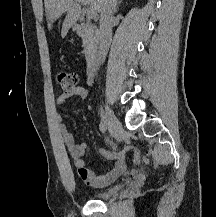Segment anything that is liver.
I'll use <instances>...</instances> for the list:
<instances>
[{
	"instance_id": "1",
	"label": "liver",
	"mask_w": 216,
	"mask_h": 217,
	"mask_svg": "<svg viewBox=\"0 0 216 217\" xmlns=\"http://www.w3.org/2000/svg\"><path fill=\"white\" fill-rule=\"evenodd\" d=\"M105 0H85L88 7L95 14L101 13ZM48 29H52V23L63 13L67 16L62 25V35H66L68 29L72 27L80 17L81 8L77 0H44Z\"/></svg>"
}]
</instances>
